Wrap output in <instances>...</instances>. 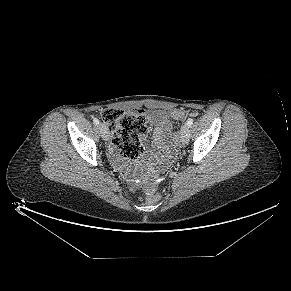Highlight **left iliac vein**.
<instances>
[{"instance_id": "obj_1", "label": "left iliac vein", "mask_w": 291, "mask_h": 291, "mask_svg": "<svg viewBox=\"0 0 291 291\" xmlns=\"http://www.w3.org/2000/svg\"><path fill=\"white\" fill-rule=\"evenodd\" d=\"M180 141L185 144L189 141L190 133H189V127L187 124L183 125L180 129Z\"/></svg>"}]
</instances>
